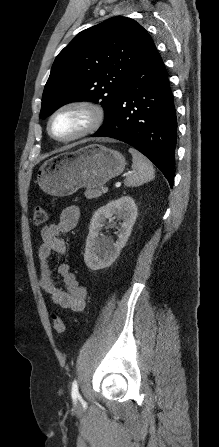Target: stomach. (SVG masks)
I'll return each mask as SVG.
<instances>
[{"mask_svg":"<svg viewBox=\"0 0 219 447\" xmlns=\"http://www.w3.org/2000/svg\"><path fill=\"white\" fill-rule=\"evenodd\" d=\"M124 156L100 144H89L73 152H64L45 161L37 172L40 188L52 196L64 197L79 188H98L120 175Z\"/></svg>","mask_w":219,"mask_h":447,"instance_id":"1","label":"stomach"}]
</instances>
